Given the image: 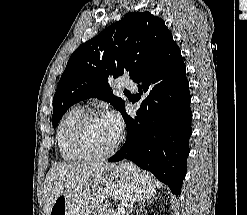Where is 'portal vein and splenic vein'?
<instances>
[{
    "label": "portal vein and splenic vein",
    "instance_id": "18ae733b",
    "mask_svg": "<svg viewBox=\"0 0 247 215\" xmlns=\"http://www.w3.org/2000/svg\"><path fill=\"white\" fill-rule=\"evenodd\" d=\"M117 212L119 213V215H125L126 214V211L123 208H119Z\"/></svg>",
    "mask_w": 247,
    "mask_h": 215
}]
</instances>
